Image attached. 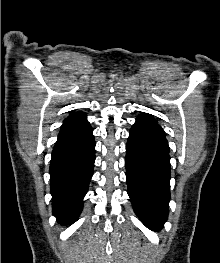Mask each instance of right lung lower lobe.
<instances>
[{
    "label": "right lung lower lobe",
    "instance_id": "98d812e1",
    "mask_svg": "<svg viewBox=\"0 0 220 263\" xmlns=\"http://www.w3.org/2000/svg\"><path fill=\"white\" fill-rule=\"evenodd\" d=\"M95 141L92 128L83 133H60L50 163L53 214L62 224L75 221L93 175Z\"/></svg>",
    "mask_w": 220,
    "mask_h": 263
}]
</instances>
